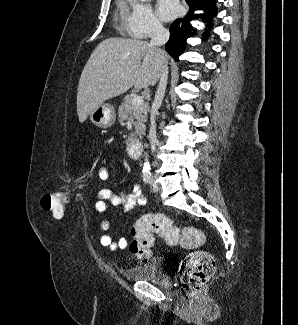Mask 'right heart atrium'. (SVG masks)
I'll return each instance as SVG.
<instances>
[{
    "instance_id": "right-heart-atrium-1",
    "label": "right heart atrium",
    "mask_w": 298,
    "mask_h": 325,
    "mask_svg": "<svg viewBox=\"0 0 298 325\" xmlns=\"http://www.w3.org/2000/svg\"><path fill=\"white\" fill-rule=\"evenodd\" d=\"M130 22L136 24L126 26V37H132V41H149L150 30L163 29L152 5L146 0H137L132 3Z\"/></svg>"
}]
</instances>
